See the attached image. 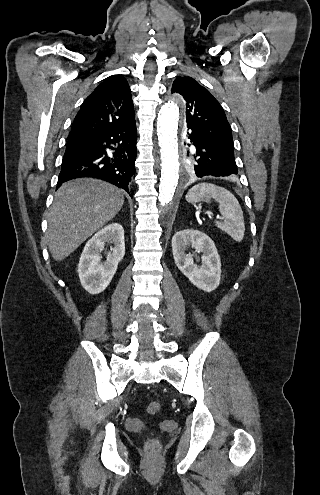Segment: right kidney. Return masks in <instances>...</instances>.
I'll return each instance as SVG.
<instances>
[{
	"mask_svg": "<svg viewBox=\"0 0 320 495\" xmlns=\"http://www.w3.org/2000/svg\"><path fill=\"white\" fill-rule=\"evenodd\" d=\"M114 244L105 263L100 253L106 243ZM125 255L124 229L118 223L98 231L85 245L78 264L82 287L90 294H99L110 284L119 262Z\"/></svg>",
	"mask_w": 320,
	"mask_h": 495,
	"instance_id": "right-kidney-1",
	"label": "right kidney"
}]
</instances>
